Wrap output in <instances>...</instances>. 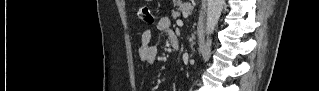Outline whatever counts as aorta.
Instances as JSON below:
<instances>
[{
  "label": "aorta",
  "instance_id": "aorta-1",
  "mask_svg": "<svg viewBox=\"0 0 319 91\" xmlns=\"http://www.w3.org/2000/svg\"><path fill=\"white\" fill-rule=\"evenodd\" d=\"M225 0H208L207 1V19L206 32L211 34L218 24Z\"/></svg>",
  "mask_w": 319,
  "mask_h": 91
}]
</instances>
